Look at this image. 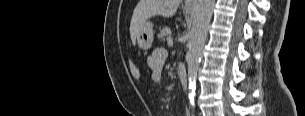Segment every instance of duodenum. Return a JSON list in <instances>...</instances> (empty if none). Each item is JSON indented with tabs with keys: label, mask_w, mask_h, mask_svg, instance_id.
I'll return each mask as SVG.
<instances>
[{
	"label": "duodenum",
	"mask_w": 305,
	"mask_h": 116,
	"mask_svg": "<svg viewBox=\"0 0 305 116\" xmlns=\"http://www.w3.org/2000/svg\"><path fill=\"white\" fill-rule=\"evenodd\" d=\"M178 73H179L182 90H186L188 86V78H187L186 68L183 64H179Z\"/></svg>",
	"instance_id": "obj_1"
}]
</instances>
